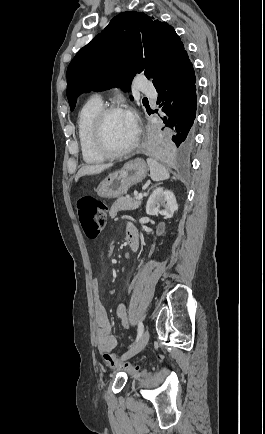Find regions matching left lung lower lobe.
Returning <instances> with one entry per match:
<instances>
[{
	"label": "left lung lower lobe",
	"mask_w": 265,
	"mask_h": 434,
	"mask_svg": "<svg viewBox=\"0 0 265 434\" xmlns=\"http://www.w3.org/2000/svg\"><path fill=\"white\" fill-rule=\"evenodd\" d=\"M158 103L167 135L155 139L151 148L162 155H181L194 145L196 126V77L193 64L186 54L179 61L165 83L158 89Z\"/></svg>",
	"instance_id": "0a47b994"
}]
</instances>
